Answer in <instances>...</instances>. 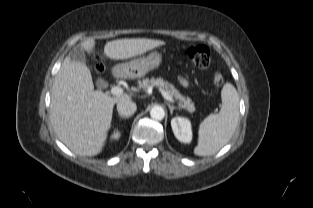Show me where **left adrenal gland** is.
<instances>
[{
    "label": "left adrenal gland",
    "mask_w": 313,
    "mask_h": 208,
    "mask_svg": "<svg viewBox=\"0 0 313 208\" xmlns=\"http://www.w3.org/2000/svg\"><path fill=\"white\" fill-rule=\"evenodd\" d=\"M169 109H170V113L171 115L173 114L174 109H180V107H175L173 105H171L170 103H167Z\"/></svg>",
    "instance_id": "a2214340"
}]
</instances>
